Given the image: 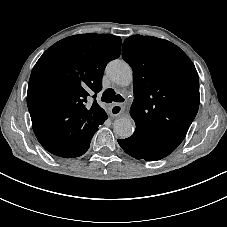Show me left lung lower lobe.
Segmentation results:
<instances>
[{"mask_svg": "<svg viewBox=\"0 0 227 227\" xmlns=\"http://www.w3.org/2000/svg\"><path fill=\"white\" fill-rule=\"evenodd\" d=\"M118 143L127 154L136 159L155 161L171 153L140 133H134L124 140L118 139Z\"/></svg>", "mask_w": 227, "mask_h": 227, "instance_id": "obj_1", "label": "left lung lower lobe"}]
</instances>
